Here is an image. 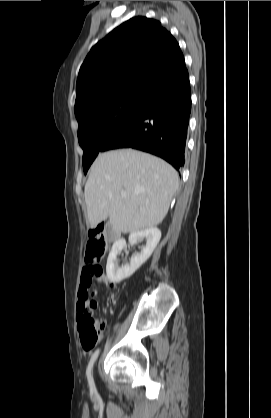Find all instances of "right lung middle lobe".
I'll list each match as a JSON object with an SVG mask.
<instances>
[{"mask_svg": "<svg viewBox=\"0 0 271 418\" xmlns=\"http://www.w3.org/2000/svg\"><path fill=\"white\" fill-rule=\"evenodd\" d=\"M149 100L136 94H121L76 114L79 124L78 140L84 151L85 174L100 153L101 146L107 137L145 106Z\"/></svg>", "mask_w": 271, "mask_h": 418, "instance_id": "1", "label": "right lung middle lobe"}]
</instances>
